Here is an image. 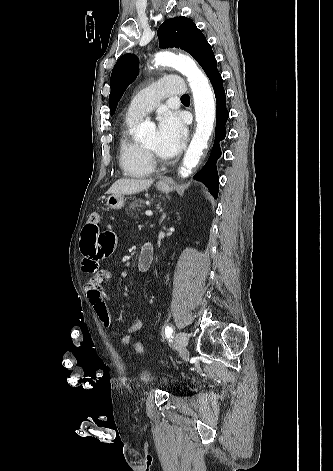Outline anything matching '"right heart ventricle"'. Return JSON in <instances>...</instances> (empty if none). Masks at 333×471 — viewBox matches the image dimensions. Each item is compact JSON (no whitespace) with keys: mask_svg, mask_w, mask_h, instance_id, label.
<instances>
[{"mask_svg":"<svg viewBox=\"0 0 333 471\" xmlns=\"http://www.w3.org/2000/svg\"><path fill=\"white\" fill-rule=\"evenodd\" d=\"M137 119L126 118L119 136V162L126 175L145 177L154 171V163L146 153L143 145L136 141L131 129Z\"/></svg>","mask_w":333,"mask_h":471,"instance_id":"right-heart-ventricle-1","label":"right heart ventricle"}]
</instances>
